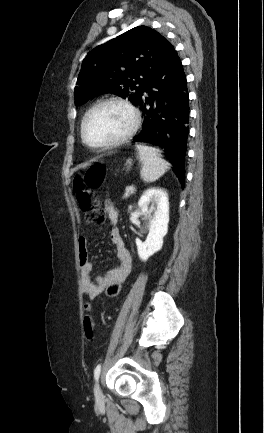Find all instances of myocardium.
I'll return each mask as SVG.
<instances>
[{"mask_svg": "<svg viewBox=\"0 0 264 433\" xmlns=\"http://www.w3.org/2000/svg\"><path fill=\"white\" fill-rule=\"evenodd\" d=\"M109 104H116V105L124 107L131 115V124H130L129 128L127 129V131L124 134H122L121 136H119L113 140L100 143V144H93L86 137V133H85L86 123H87L89 117L98 108L105 106V105H109ZM139 124H140V113H139L138 109L131 102H129L126 99L119 98V97H110V98L102 99V100L96 102L85 113V115L82 119L81 128H80L81 138L86 145H88L89 147H92V148H112V147L119 146V145L123 144L124 142H126L127 140H129L137 131Z\"/></svg>", "mask_w": 264, "mask_h": 433, "instance_id": "1", "label": "myocardium"}]
</instances>
